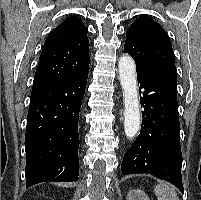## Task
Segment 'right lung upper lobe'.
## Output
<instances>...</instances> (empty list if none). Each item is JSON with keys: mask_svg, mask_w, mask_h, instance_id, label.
Masks as SVG:
<instances>
[{"mask_svg": "<svg viewBox=\"0 0 201 200\" xmlns=\"http://www.w3.org/2000/svg\"><path fill=\"white\" fill-rule=\"evenodd\" d=\"M87 32V27L76 16L68 17L51 31L39 58L32 90L71 79L88 66Z\"/></svg>", "mask_w": 201, "mask_h": 200, "instance_id": "1", "label": "right lung upper lobe"}]
</instances>
